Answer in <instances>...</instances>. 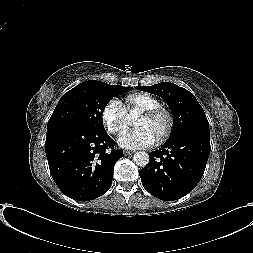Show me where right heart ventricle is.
I'll return each instance as SVG.
<instances>
[{
  "instance_id": "obj_1",
  "label": "right heart ventricle",
  "mask_w": 253,
  "mask_h": 253,
  "mask_svg": "<svg viewBox=\"0 0 253 253\" xmlns=\"http://www.w3.org/2000/svg\"><path fill=\"white\" fill-rule=\"evenodd\" d=\"M157 107H160V101L148 93H133L125 98V109L129 115Z\"/></svg>"
}]
</instances>
